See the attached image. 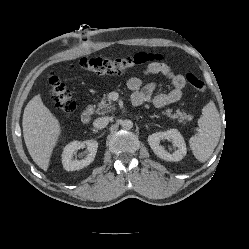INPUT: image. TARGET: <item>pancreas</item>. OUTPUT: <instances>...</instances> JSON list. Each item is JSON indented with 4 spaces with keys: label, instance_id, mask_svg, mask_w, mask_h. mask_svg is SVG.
I'll return each instance as SVG.
<instances>
[{
    "label": "pancreas",
    "instance_id": "1",
    "mask_svg": "<svg viewBox=\"0 0 249 249\" xmlns=\"http://www.w3.org/2000/svg\"><path fill=\"white\" fill-rule=\"evenodd\" d=\"M115 110V105L106 97L104 96L101 101L98 103L96 108L97 114H106L110 111ZM164 115H166L169 118L178 119L179 122L186 123L188 121H191L193 119V116L191 114H186L184 111L176 110L173 113L172 109H167L163 112Z\"/></svg>",
    "mask_w": 249,
    "mask_h": 249
}]
</instances>
